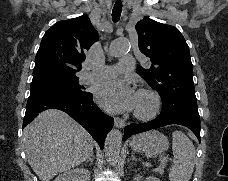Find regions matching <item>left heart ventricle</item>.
<instances>
[{"label":"left heart ventricle","instance_id":"1","mask_svg":"<svg viewBox=\"0 0 228 181\" xmlns=\"http://www.w3.org/2000/svg\"><path fill=\"white\" fill-rule=\"evenodd\" d=\"M151 106V100L148 96L146 95H140L137 100V107L140 110L146 111L150 108Z\"/></svg>","mask_w":228,"mask_h":181}]
</instances>
